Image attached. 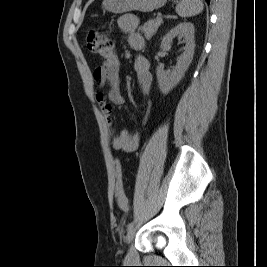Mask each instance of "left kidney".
I'll return each mask as SVG.
<instances>
[{
    "instance_id": "obj_1",
    "label": "left kidney",
    "mask_w": 267,
    "mask_h": 267,
    "mask_svg": "<svg viewBox=\"0 0 267 267\" xmlns=\"http://www.w3.org/2000/svg\"><path fill=\"white\" fill-rule=\"evenodd\" d=\"M194 25L190 22L179 23L172 28L162 39L161 48L165 49L175 37L183 38L186 45L184 52L178 57L177 64L172 70H164L162 66L156 69L160 91L168 94L184 77L194 54Z\"/></svg>"
}]
</instances>
